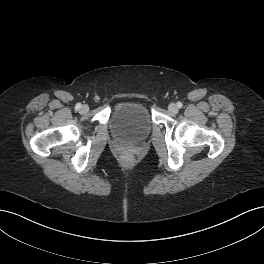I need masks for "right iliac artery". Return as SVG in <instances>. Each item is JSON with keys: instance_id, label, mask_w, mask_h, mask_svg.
Instances as JSON below:
<instances>
[{"instance_id": "right-iliac-artery-1", "label": "right iliac artery", "mask_w": 264, "mask_h": 264, "mask_svg": "<svg viewBox=\"0 0 264 264\" xmlns=\"http://www.w3.org/2000/svg\"><path fill=\"white\" fill-rule=\"evenodd\" d=\"M77 110H79L80 108H81V104L80 103H78V104H76V107H75Z\"/></svg>"}]
</instances>
